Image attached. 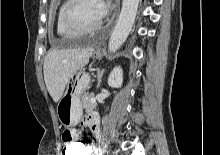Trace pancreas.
<instances>
[{
	"instance_id": "1",
	"label": "pancreas",
	"mask_w": 220,
	"mask_h": 155,
	"mask_svg": "<svg viewBox=\"0 0 220 155\" xmlns=\"http://www.w3.org/2000/svg\"><path fill=\"white\" fill-rule=\"evenodd\" d=\"M93 95H85L82 98V105L83 108L85 109L86 112H90L92 110H94L97 107V103L96 102H91Z\"/></svg>"
}]
</instances>
